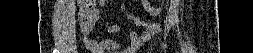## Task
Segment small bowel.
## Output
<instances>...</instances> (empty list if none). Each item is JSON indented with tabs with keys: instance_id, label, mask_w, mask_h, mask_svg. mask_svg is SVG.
<instances>
[{
	"instance_id": "small-bowel-1",
	"label": "small bowel",
	"mask_w": 253,
	"mask_h": 53,
	"mask_svg": "<svg viewBox=\"0 0 253 53\" xmlns=\"http://www.w3.org/2000/svg\"><path fill=\"white\" fill-rule=\"evenodd\" d=\"M98 1H93V3H97ZM100 9H96L95 12L91 15L90 21L80 27L79 32L84 42L85 46L94 53H100L104 50L112 49L116 47V44L111 40H102L100 42L96 40H91L87 36L92 31L95 22L99 18ZM129 19H131L137 27H143L145 32L141 35L135 30H130L128 33V39L125 44L126 52L135 53L138 49L148 41H150L154 36L162 31L164 26L155 25L147 22L140 21L137 17L131 16L129 14H125ZM107 30L110 33H115L120 31V27L117 25H109L107 26Z\"/></svg>"
}]
</instances>
